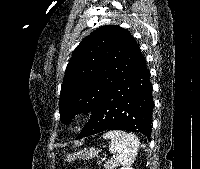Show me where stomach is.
<instances>
[{"label": "stomach", "instance_id": "obj_1", "mask_svg": "<svg viewBox=\"0 0 200 169\" xmlns=\"http://www.w3.org/2000/svg\"><path fill=\"white\" fill-rule=\"evenodd\" d=\"M98 150L95 148H90L88 150H85L84 153L79 154H69L66 156L67 161L75 160L76 158H82V159H91L94 158L98 154Z\"/></svg>", "mask_w": 200, "mask_h": 169}]
</instances>
